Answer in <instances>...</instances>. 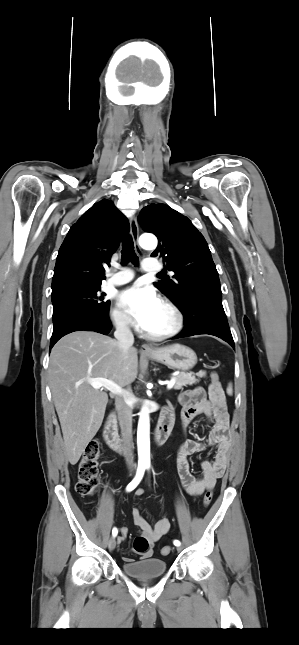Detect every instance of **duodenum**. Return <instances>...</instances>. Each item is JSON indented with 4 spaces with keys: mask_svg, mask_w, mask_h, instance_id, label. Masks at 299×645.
<instances>
[{
    "mask_svg": "<svg viewBox=\"0 0 299 645\" xmlns=\"http://www.w3.org/2000/svg\"><path fill=\"white\" fill-rule=\"evenodd\" d=\"M174 418L169 409H164L160 415L158 426L155 431V441L162 445L168 439L173 428ZM104 439L108 446L117 452H123V443L118 434L115 413H111L105 423Z\"/></svg>",
    "mask_w": 299,
    "mask_h": 645,
    "instance_id": "duodenum-1",
    "label": "duodenum"
}]
</instances>
